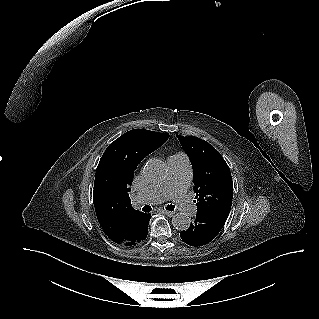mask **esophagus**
I'll return each mask as SVG.
<instances>
[{
	"label": "esophagus",
	"mask_w": 319,
	"mask_h": 319,
	"mask_svg": "<svg viewBox=\"0 0 319 319\" xmlns=\"http://www.w3.org/2000/svg\"><path fill=\"white\" fill-rule=\"evenodd\" d=\"M162 213L167 215V216H173L174 215L173 211L162 210Z\"/></svg>",
	"instance_id": "esophagus-1"
}]
</instances>
